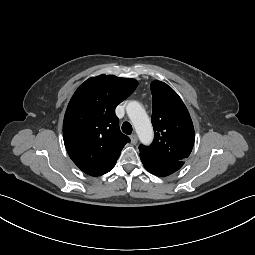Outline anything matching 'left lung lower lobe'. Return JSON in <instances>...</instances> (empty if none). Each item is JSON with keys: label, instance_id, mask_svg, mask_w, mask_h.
<instances>
[{"label": "left lung lower lobe", "instance_id": "0a47b994", "mask_svg": "<svg viewBox=\"0 0 255 255\" xmlns=\"http://www.w3.org/2000/svg\"><path fill=\"white\" fill-rule=\"evenodd\" d=\"M144 167L146 170H148L150 173L157 175V176H168L176 171H178L184 163H178L172 166H159L152 164L144 159H141Z\"/></svg>", "mask_w": 255, "mask_h": 255}]
</instances>
